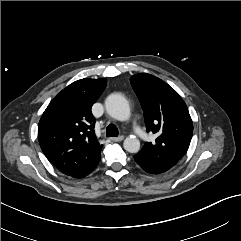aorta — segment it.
<instances>
[{"label":"aorta","instance_id":"762f6f07","mask_svg":"<svg viewBox=\"0 0 241 241\" xmlns=\"http://www.w3.org/2000/svg\"><path fill=\"white\" fill-rule=\"evenodd\" d=\"M107 113L116 120L126 121L130 117L128 101L120 94H111L105 100ZM124 149L130 153H137L140 149V141L134 136L127 137L123 143Z\"/></svg>","mask_w":241,"mask_h":241}]
</instances>
